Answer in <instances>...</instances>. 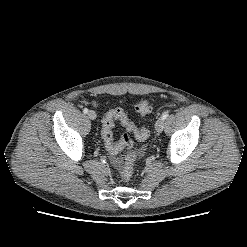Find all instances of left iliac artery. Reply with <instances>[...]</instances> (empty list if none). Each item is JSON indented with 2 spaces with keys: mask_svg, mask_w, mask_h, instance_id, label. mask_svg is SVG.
I'll return each mask as SVG.
<instances>
[{
  "mask_svg": "<svg viewBox=\"0 0 247 247\" xmlns=\"http://www.w3.org/2000/svg\"><path fill=\"white\" fill-rule=\"evenodd\" d=\"M169 116V113L168 112H165V113H163V115H162V119L163 120H165L167 117Z\"/></svg>",
  "mask_w": 247,
  "mask_h": 247,
  "instance_id": "44dca946",
  "label": "left iliac artery"
}]
</instances>
